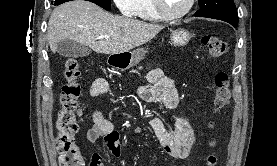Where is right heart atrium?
<instances>
[{
    "mask_svg": "<svg viewBox=\"0 0 277 166\" xmlns=\"http://www.w3.org/2000/svg\"><path fill=\"white\" fill-rule=\"evenodd\" d=\"M113 2L120 12L124 15L130 16L134 12L137 0H113Z\"/></svg>",
    "mask_w": 277,
    "mask_h": 166,
    "instance_id": "d8ad5b80",
    "label": "right heart atrium"
}]
</instances>
